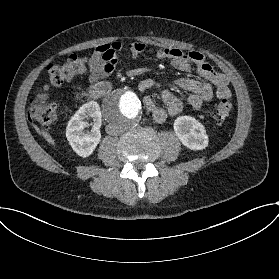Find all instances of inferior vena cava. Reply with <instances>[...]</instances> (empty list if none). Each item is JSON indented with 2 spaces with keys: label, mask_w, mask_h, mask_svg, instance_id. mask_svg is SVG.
<instances>
[{
  "label": "inferior vena cava",
  "mask_w": 279,
  "mask_h": 279,
  "mask_svg": "<svg viewBox=\"0 0 279 279\" xmlns=\"http://www.w3.org/2000/svg\"><path fill=\"white\" fill-rule=\"evenodd\" d=\"M106 133L111 136H117L123 133V130L116 125L108 124L105 128Z\"/></svg>",
  "instance_id": "obj_1"
}]
</instances>
